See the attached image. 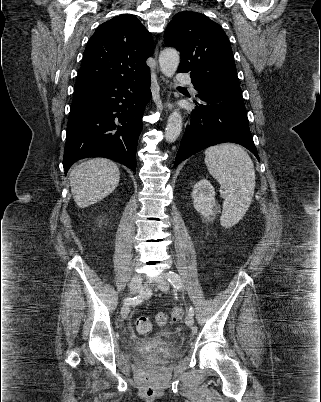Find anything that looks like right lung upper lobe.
Masks as SVG:
<instances>
[{
  "label": "right lung upper lobe",
  "mask_w": 321,
  "mask_h": 402,
  "mask_svg": "<svg viewBox=\"0 0 321 402\" xmlns=\"http://www.w3.org/2000/svg\"><path fill=\"white\" fill-rule=\"evenodd\" d=\"M153 51L152 36L136 17L116 16L90 38L75 87L145 75L150 72L146 59Z\"/></svg>",
  "instance_id": "1"
}]
</instances>
